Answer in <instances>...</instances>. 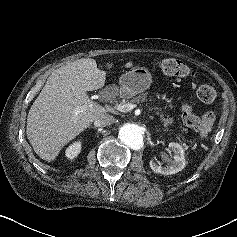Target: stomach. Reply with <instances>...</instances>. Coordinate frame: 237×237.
<instances>
[{
  "label": "stomach",
  "mask_w": 237,
  "mask_h": 237,
  "mask_svg": "<svg viewBox=\"0 0 237 237\" xmlns=\"http://www.w3.org/2000/svg\"><path fill=\"white\" fill-rule=\"evenodd\" d=\"M152 82L150 72L144 67H137L119 78L120 90L124 97L131 98L147 90Z\"/></svg>",
  "instance_id": "1"
}]
</instances>
